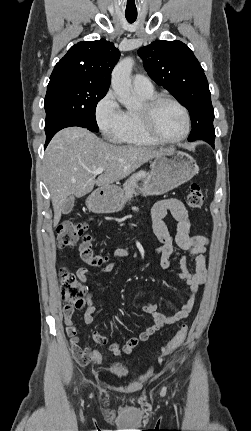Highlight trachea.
<instances>
[{
    "instance_id": "trachea-1",
    "label": "trachea",
    "mask_w": 251,
    "mask_h": 431,
    "mask_svg": "<svg viewBox=\"0 0 251 431\" xmlns=\"http://www.w3.org/2000/svg\"><path fill=\"white\" fill-rule=\"evenodd\" d=\"M125 16L129 23H133L137 18V14H126Z\"/></svg>"
}]
</instances>
